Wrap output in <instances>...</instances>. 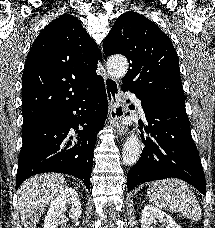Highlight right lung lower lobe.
I'll list each match as a JSON object with an SVG mask.
<instances>
[{"label":"right lung lower lobe","mask_w":215,"mask_h":228,"mask_svg":"<svg viewBox=\"0 0 215 228\" xmlns=\"http://www.w3.org/2000/svg\"><path fill=\"white\" fill-rule=\"evenodd\" d=\"M107 109L104 80L98 75L59 111L22 129L16 189L32 175L57 172L81 179L90 190L94 146ZM71 129L76 131L78 142H72Z\"/></svg>","instance_id":"1"}]
</instances>
